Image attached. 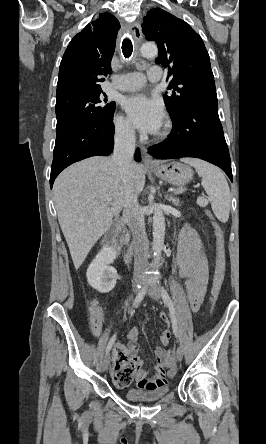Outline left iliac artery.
<instances>
[{
    "label": "left iliac artery",
    "instance_id": "44dca946",
    "mask_svg": "<svg viewBox=\"0 0 266 444\" xmlns=\"http://www.w3.org/2000/svg\"><path fill=\"white\" fill-rule=\"evenodd\" d=\"M160 291H161V295H162L164 302L169 307L173 332H174L175 336L177 337L178 336V327H177V320H176V316H175V309H174L173 301L164 287H161Z\"/></svg>",
    "mask_w": 266,
    "mask_h": 444
}]
</instances>
